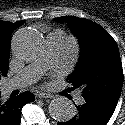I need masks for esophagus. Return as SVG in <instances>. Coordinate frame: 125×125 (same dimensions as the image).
Segmentation results:
<instances>
[{
	"label": "esophagus",
	"instance_id": "1",
	"mask_svg": "<svg viewBox=\"0 0 125 125\" xmlns=\"http://www.w3.org/2000/svg\"><path fill=\"white\" fill-rule=\"evenodd\" d=\"M38 98L42 99V98H53V95L49 94V93H45V92H40L37 94Z\"/></svg>",
	"mask_w": 125,
	"mask_h": 125
}]
</instances>
